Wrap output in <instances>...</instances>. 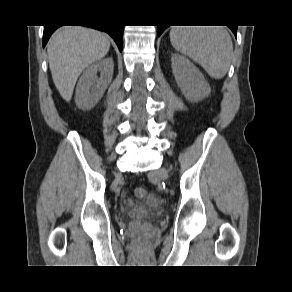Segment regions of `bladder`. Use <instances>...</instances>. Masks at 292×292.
I'll list each match as a JSON object with an SVG mask.
<instances>
[{
    "label": "bladder",
    "instance_id": "bladder-1",
    "mask_svg": "<svg viewBox=\"0 0 292 292\" xmlns=\"http://www.w3.org/2000/svg\"><path fill=\"white\" fill-rule=\"evenodd\" d=\"M159 200L155 195L149 196L146 201L132 205L129 214L132 217L147 218L157 213Z\"/></svg>",
    "mask_w": 292,
    "mask_h": 292
}]
</instances>
